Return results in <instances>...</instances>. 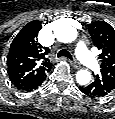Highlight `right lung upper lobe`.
<instances>
[{"mask_svg":"<svg viewBox=\"0 0 115 119\" xmlns=\"http://www.w3.org/2000/svg\"><path fill=\"white\" fill-rule=\"evenodd\" d=\"M41 28V21L33 20L24 26L11 43L7 56V73L17 88L36 83L52 68L47 58L49 48L38 43Z\"/></svg>","mask_w":115,"mask_h":119,"instance_id":"obj_1","label":"right lung upper lobe"}]
</instances>
